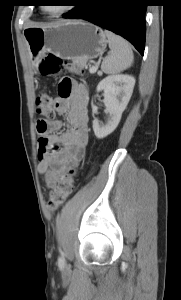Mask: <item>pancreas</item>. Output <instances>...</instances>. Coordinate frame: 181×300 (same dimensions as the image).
I'll return each instance as SVG.
<instances>
[{"label": "pancreas", "mask_w": 181, "mask_h": 300, "mask_svg": "<svg viewBox=\"0 0 181 300\" xmlns=\"http://www.w3.org/2000/svg\"><path fill=\"white\" fill-rule=\"evenodd\" d=\"M73 64L76 65L79 68H83L86 63L83 64L81 61L75 60V61H73Z\"/></svg>", "instance_id": "cf45deb5"}]
</instances>
